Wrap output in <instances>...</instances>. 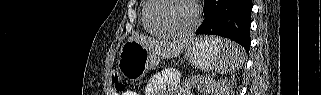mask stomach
I'll list each match as a JSON object with an SVG mask.
<instances>
[{
  "instance_id": "0dacf381",
  "label": "stomach",
  "mask_w": 321,
  "mask_h": 95,
  "mask_svg": "<svg viewBox=\"0 0 321 95\" xmlns=\"http://www.w3.org/2000/svg\"><path fill=\"white\" fill-rule=\"evenodd\" d=\"M222 52L223 47L217 42V38H197L185 47V54L189 62L205 71L214 68ZM159 61L158 55L144 48L140 43L127 41L119 52L118 70L127 79L140 80L158 65Z\"/></svg>"
}]
</instances>
